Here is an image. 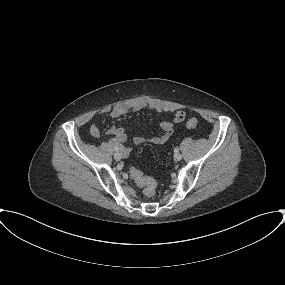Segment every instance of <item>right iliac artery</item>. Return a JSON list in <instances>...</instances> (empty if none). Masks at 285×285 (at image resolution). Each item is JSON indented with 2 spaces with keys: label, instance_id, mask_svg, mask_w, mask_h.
<instances>
[{
  "label": "right iliac artery",
  "instance_id": "82829eb1",
  "mask_svg": "<svg viewBox=\"0 0 285 285\" xmlns=\"http://www.w3.org/2000/svg\"><path fill=\"white\" fill-rule=\"evenodd\" d=\"M114 150L115 151H119L120 149H119V147H115Z\"/></svg>",
  "mask_w": 285,
  "mask_h": 285
}]
</instances>
